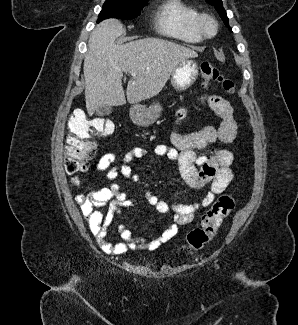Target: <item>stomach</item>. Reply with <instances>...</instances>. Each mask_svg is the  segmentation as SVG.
Here are the masks:
<instances>
[{
  "instance_id": "obj_1",
  "label": "stomach",
  "mask_w": 298,
  "mask_h": 325,
  "mask_svg": "<svg viewBox=\"0 0 298 325\" xmlns=\"http://www.w3.org/2000/svg\"><path fill=\"white\" fill-rule=\"evenodd\" d=\"M199 68L195 60L191 58H184L176 68H174L171 74V84L174 86L175 90L183 92L190 88L194 84L196 78H198ZM163 112V106L161 102H154L150 106H133L131 108V118L135 124L139 126H149L153 124Z\"/></svg>"
}]
</instances>
